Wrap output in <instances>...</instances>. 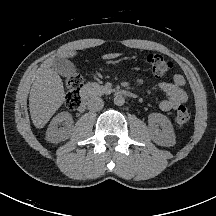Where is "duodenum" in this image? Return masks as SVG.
<instances>
[{
    "label": "duodenum",
    "instance_id": "1",
    "mask_svg": "<svg viewBox=\"0 0 216 216\" xmlns=\"http://www.w3.org/2000/svg\"><path fill=\"white\" fill-rule=\"evenodd\" d=\"M112 93L118 96H124L129 98L135 97V94L132 91L127 89H114L112 90ZM88 103H89V94L86 91H82L79 110H84L87 107Z\"/></svg>",
    "mask_w": 216,
    "mask_h": 216
}]
</instances>
